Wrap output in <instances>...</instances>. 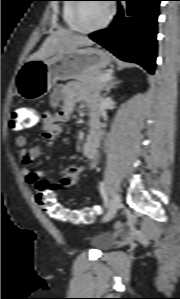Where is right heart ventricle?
<instances>
[{"label":"right heart ventricle","mask_w":180,"mask_h":299,"mask_svg":"<svg viewBox=\"0 0 180 299\" xmlns=\"http://www.w3.org/2000/svg\"><path fill=\"white\" fill-rule=\"evenodd\" d=\"M73 2L74 0H66L62 7V18L67 28L76 31L77 29L72 21V10L74 6Z\"/></svg>","instance_id":"e07e8e85"}]
</instances>
